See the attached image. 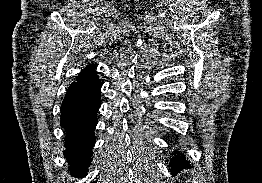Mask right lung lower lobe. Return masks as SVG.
I'll list each match as a JSON object with an SVG mask.
<instances>
[{"label":"right lung lower lobe","instance_id":"1","mask_svg":"<svg viewBox=\"0 0 262 183\" xmlns=\"http://www.w3.org/2000/svg\"><path fill=\"white\" fill-rule=\"evenodd\" d=\"M96 65L86 66L69 86L61 106L60 125L66 131L64 156L71 172L84 175L91 161L95 144L94 129L101 106L102 83Z\"/></svg>","mask_w":262,"mask_h":183}]
</instances>
